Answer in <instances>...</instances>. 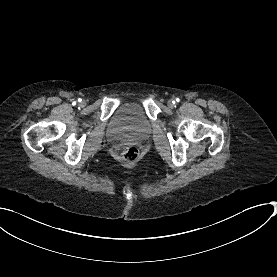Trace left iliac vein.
I'll use <instances>...</instances> for the list:
<instances>
[{
  "mask_svg": "<svg viewBox=\"0 0 277 277\" xmlns=\"http://www.w3.org/2000/svg\"><path fill=\"white\" fill-rule=\"evenodd\" d=\"M167 104H168V106H169L170 108H172V107L174 106V101L169 100V101L167 102Z\"/></svg>",
  "mask_w": 277,
  "mask_h": 277,
  "instance_id": "1",
  "label": "left iliac vein"
}]
</instances>
